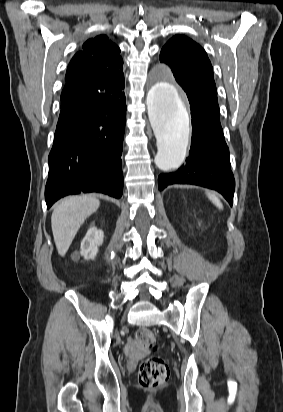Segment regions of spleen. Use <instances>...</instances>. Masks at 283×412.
Instances as JSON below:
<instances>
[{
  "label": "spleen",
  "mask_w": 283,
  "mask_h": 412,
  "mask_svg": "<svg viewBox=\"0 0 283 412\" xmlns=\"http://www.w3.org/2000/svg\"><path fill=\"white\" fill-rule=\"evenodd\" d=\"M210 201L219 209H223V204L221 203L220 199L214 194L207 192L206 193Z\"/></svg>",
  "instance_id": "spleen-1"
}]
</instances>
